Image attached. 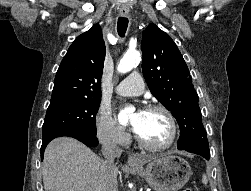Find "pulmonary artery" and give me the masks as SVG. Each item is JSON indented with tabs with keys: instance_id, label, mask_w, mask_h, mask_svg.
Masks as SVG:
<instances>
[{
	"instance_id": "obj_1",
	"label": "pulmonary artery",
	"mask_w": 251,
	"mask_h": 191,
	"mask_svg": "<svg viewBox=\"0 0 251 191\" xmlns=\"http://www.w3.org/2000/svg\"><path fill=\"white\" fill-rule=\"evenodd\" d=\"M145 89V82L142 75L132 72L122 80L115 88L116 93L123 96L140 95Z\"/></svg>"
}]
</instances>
